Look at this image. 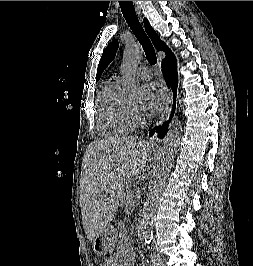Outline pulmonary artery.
<instances>
[{
    "mask_svg": "<svg viewBox=\"0 0 253 266\" xmlns=\"http://www.w3.org/2000/svg\"><path fill=\"white\" fill-rule=\"evenodd\" d=\"M134 74L143 80H149L152 77V71L150 68L146 67V66H141L138 67L135 71Z\"/></svg>",
    "mask_w": 253,
    "mask_h": 266,
    "instance_id": "1",
    "label": "pulmonary artery"
}]
</instances>
